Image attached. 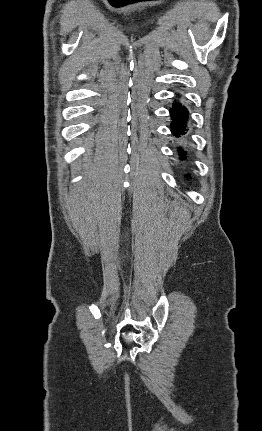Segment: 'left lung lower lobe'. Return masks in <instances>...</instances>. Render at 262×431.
<instances>
[{"instance_id":"0a47b994","label":"left lung lower lobe","mask_w":262,"mask_h":431,"mask_svg":"<svg viewBox=\"0 0 262 431\" xmlns=\"http://www.w3.org/2000/svg\"><path fill=\"white\" fill-rule=\"evenodd\" d=\"M171 113V131L173 135L178 138L181 143H185L187 138V123H188V110L182 106L179 102L173 104L170 109ZM179 155L184 159L186 157V152L179 147Z\"/></svg>"}]
</instances>
